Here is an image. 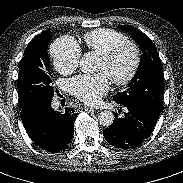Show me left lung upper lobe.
I'll list each match as a JSON object with an SVG mask.
<instances>
[{"label": "left lung upper lobe", "mask_w": 183, "mask_h": 183, "mask_svg": "<svg viewBox=\"0 0 183 183\" xmlns=\"http://www.w3.org/2000/svg\"><path fill=\"white\" fill-rule=\"evenodd\" d=\"M140 45L143 54L139 70L125 91L113 96L118 104L133 103L160 115L164 93V75L159 54L151 39L131 25H121Z\"/></svg>", "instance_id": "obj_1"}]
</instances>
